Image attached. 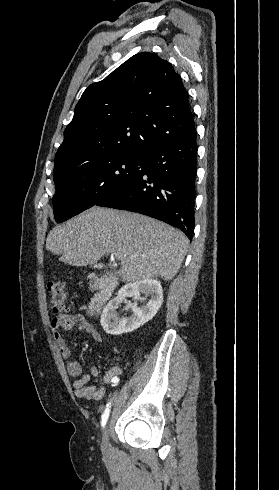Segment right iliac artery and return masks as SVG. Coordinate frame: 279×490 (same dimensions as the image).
Listing matches in <instances>:
<instances>
[{"label": "right iliac artery", "instance_id": "right-iliac-artery-1", "mask_svg": "<svg viewBox=\"0 0 279 490\" xmlns=\"http://www.w3.org/2000/svg\"><path fill=\"white\" fill-rule=\"evenodd\" d=\"M111 380H112V382H113V383H112V386H113L114 388H117V387L119 386V381H118L117 377H115V376H114V377H112V379H111ZM109 412H110V409H109V404H107V408H106V410H105L104 414L102 415V421H101V424H102V426H103V427L105 426V424H106V422H107V419H108V416H109Z\"/></svg>", "mask_w": 279, "mask_h": 490}]
</instances>
